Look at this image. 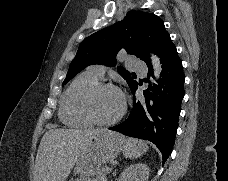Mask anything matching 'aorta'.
<instances>
[{
    "mask_svg": "<svg viewBox=\"0 0 228 181\" xmlns=\"http://www.w3.org/2000/svg\"><path fill=\"white\" fill-rule=\"evenodd\" d=\"M151 60L154 69V75L155 77H159L162 70L160 59L156 55H151Z\"/></svg>",
    "mask_w": 228,
    "mask_h": 181,
    "instance_id": "762f6f07",
    "label": "aorta"
}]
</instances>
